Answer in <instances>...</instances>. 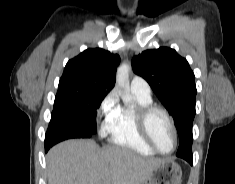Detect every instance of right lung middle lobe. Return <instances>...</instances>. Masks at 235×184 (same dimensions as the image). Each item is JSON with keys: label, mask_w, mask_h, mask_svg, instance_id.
I'll use <instances>...</instances> for the list:
<instances>
[{"label": "right lung middle lobe", "mask_w": 235, "mask_h": 184, "mask_svg": "<svg viewBox=\"0 0 235 184\" xmlns=\"http://www.w3.org/2000/svg\"><path fill=\"white\" fill-rule=\"evenodd\" d=\"M107 93L108 91L92 87L58 90L52 113L76 123L83 131L60 134L56 142L70 138L92 137L97 131L95 123L97 108Z\"/></svg>", "instance_id": "dd1d6c3e"}]
</instances>
